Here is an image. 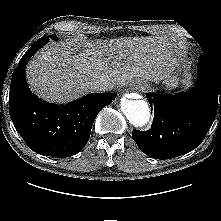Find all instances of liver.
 Listing matches in <instances>:
<instances>
[{
	"label": "liver",
	"mask_w": 221,
	"mask_h": 221,
	"mask_svg": "<svg viewBox=\"0 0 221 221\" xmlns=\"http://www.w3.org/2000/svg\"><path fill=\"white\" fill-rule=\"evenodd\" d=\"M173 46L163 37L98 39L77 53L72 43L50 42L29 61L26 78L42 99L65 103L92 91L90 83L102 77L114 86L163 80L177 63Z\"/></svg>",
	"instance_id": "obj_1"
}]
</instances>
